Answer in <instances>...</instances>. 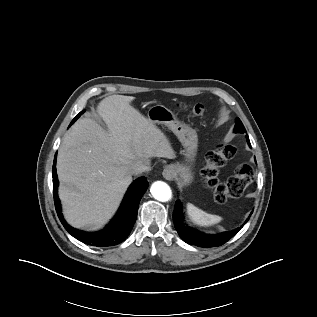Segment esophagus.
<instances>
[{"mask_svg": "<svg viewBox=\"0 0 317 317\" xmlns=\"http://www.w3.org/2000/svg\"><path fill=\"white\" fill-rule=\"evenodd\" d=\"M162 175L166 180H173L176 175V170L173 166H167L164 168Z\"/></svg>", "mask_w": 317, "mask_h": 317, "instance_id": "34e87169", "label": "esophagus"}]
</instances>
